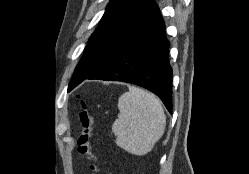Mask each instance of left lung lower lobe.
<instances>
[{"label": "left lung lower lobe", "mask_w": 249, "mask_h": 174, "mask_svg": "<svg viewBox=\"0 0 249 174\" xmlns=\"http://www.w3.org/2000/svg\"><path fill=\"white\" fill-rule=\"evenodd\" d=\"M168 53L165 23L159 13L132 36L105 66L88 78L75 79L68 91L86 79L130 82L156 94L171 112L172 69Z\"/></svg>", "instance_id": "0a47b994"}]
</instances>
